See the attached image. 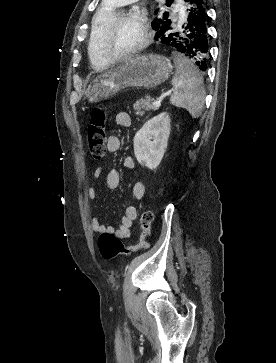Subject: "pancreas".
<instances>
[{"label": "pancreas", "instance_id": "1", "mask_svg": "<svg viewBox=\"0 0 276 363\" xmlns=\"http://www.w3.org/2000/svg\"><path fill=\"white\" fill-rule=\"evenodd\" d=\"M153 100L149 97L136 101L133 105L134 110L138 116H143L145 111L157 110V107L153 105Z\"/></svg>", "mask_w": 276, "mask_h": 363}]
</instances>
